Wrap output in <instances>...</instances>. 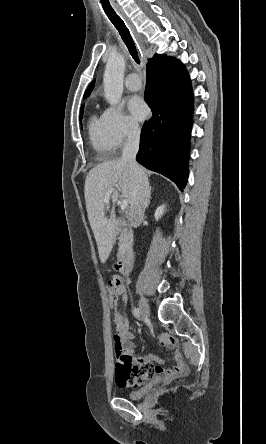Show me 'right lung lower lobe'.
I'll return each instance as SVG.
<instances>
[{"label":"right lung lower lobe","instance_id":"1","mask_svg":"<svg viewBox=\"0 0 266 444\" xmlns=\"http://www.w3.org/2000/svg\"><path fill=\"white\" fill-rule=\"evenodd\" d=\"M145 99L152 117L141 130L138 163L171 179L182 191L188 179L193 96L184 66L171 58L146 67Z\"/></svg>","mask_w":266,"mask_h":444}]
</instances>
